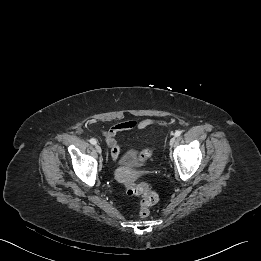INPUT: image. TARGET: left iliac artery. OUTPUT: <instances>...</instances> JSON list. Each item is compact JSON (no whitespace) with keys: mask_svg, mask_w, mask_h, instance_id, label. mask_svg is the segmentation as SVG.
Returning <instances> with one entry per match:
<instances>
[{"mask_svg":"<svg viewBox=\"0 0 261 261\" xmlns=\"http://www.w3.org/2000/svg\"><path fill=\"white\" fill-rule=\"evenodd\" d=\"M175 137H178V136H180L181 135V131L180 130H177L176 132H175Z\"/></svg>","mask_w":261,"mask_h":261,"instance_id":"1","label":"left iliac artery"}]
</instances>
